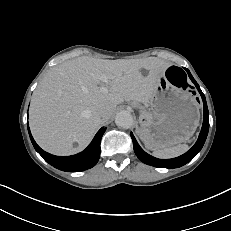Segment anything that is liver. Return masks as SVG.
<instances>
[{
    "instance_id": "obj_1",
    "label": "liver",
    "mask_w": 231,
    "mask_h": 231,
    "mask_svg": "<svg viewBox=\"0 0 231 231\" xmlns=\"http://www.w3.org/2000/svg\"><path fill=\"white\" fill-rule=\"evenodd\" d=\"M168 67L155 57L105 60L87 56L53 67L31 100L29 124L34 139L54 155L83 150L105 121L98 116L100 110L111 116L125 99L148 103ZM141 69L148 71L146 76ZM103 74L108 77L106 92L99 86Z\"/></svg>"
}]
</instances>
